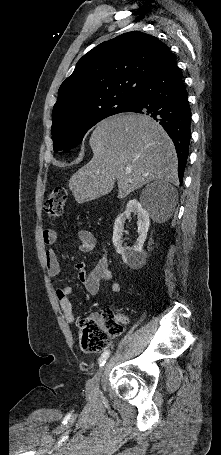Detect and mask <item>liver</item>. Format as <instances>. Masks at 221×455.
<instances>
[{"instance_id": "obj_1", "label": "liver", "mask_w": 221, "mask_h": 455, "mask_svg": "<svg viewBox=\"0 0 221 455\" xmlns=\"http://www.w3.org/2000/svg\"><path fill=\"white\" fill-rule=\"evenodd\" d=\"M89 144L93 158L69 180L80 204L107 195L116 181L119 199L154 180L178 182L174 144L148 116L121 113L106 118L97 124Z\"/></svg>"}]
</instances>
